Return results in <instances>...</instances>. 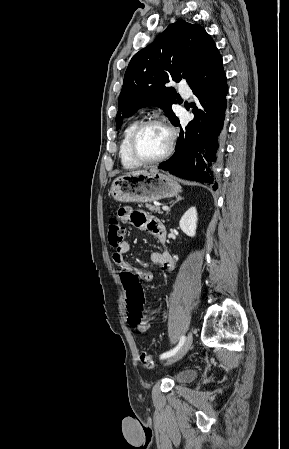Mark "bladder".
<instances>
[{"instance_id":"31cf9c89","label":"bladder","mask_w":289,"mask_h":449,"mask_svg":"<svg viewBox=\"0 0 289 449\" xmlns=\"http://www.w3.org/2000/svg\"><path fill=\"white\" fill-rule=\"evenodd\" d=\"M197 376L195 370H183L176 375V381L180 383L188 382Z\"/></svg>"}]
</instances>
